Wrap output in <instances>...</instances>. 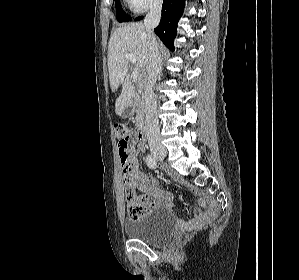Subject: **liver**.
<instances>
[{
    "label": "liver",
    "instance_id": "obj_1",
    "mask_svg": "<svg viewBox=\"0 0 299 280\" xmlns=\"http://www.w3.org/2000/svg\"><path fill=\"white\" fill-rule=\"evenodd\" d=\"M126 54L134 55L136 68L147 71L150 51L147 32L144 24L130 23L116 29L109 40L108 69L110 87L116 91L122 83V92L115 102V113L121 115L130 106L132 97V82L128 73L129 60Z\"/></svg>",
    "mask_w": 299,
    "mask_h": 280
}]
</instances>
